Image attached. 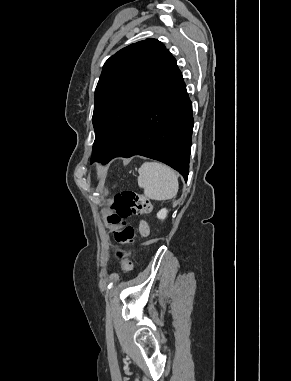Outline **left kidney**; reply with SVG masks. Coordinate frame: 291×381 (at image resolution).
Instances as JSON below:
<instances>
[{"label": "left kidney", "mask_w": 291, "mask_h": 381, "mask_svg": "<svg viewBox=\"0 0 291 381\" xmlns=\"http://www.w3.org/2000/svg\"><path fill=\"white\" fill-rule=\"evenodd\" d=\"M167 213H168V210L166 208H163L161 209L158 213H157V217L161 220H164L167 216Z\"/></svg>", "instance_id": "1"}]
</instances>
